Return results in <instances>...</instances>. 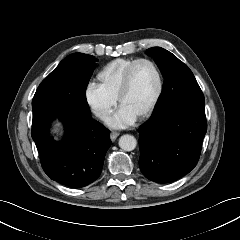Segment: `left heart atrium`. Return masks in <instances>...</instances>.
I'll use <instances>...</instances> for the list:
<instances>
[{
	"label": "left heart atrium",
	"instance_id": "1",
	"mask_svg": "<svg viewBox=\"0 0 240 240\" xmlns=\"http://www.w3.org/2000/svg\"><path fill=\"white\" fill-rule=\"evenodd\" d=\"M136 116L121 106L111 117L107 119V124L113 128H125L132 125Z\"/></svg>",
	"mask_w": 240,
	"mask_h": 240
}]
</instances>
